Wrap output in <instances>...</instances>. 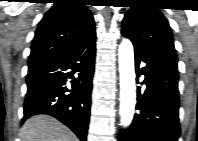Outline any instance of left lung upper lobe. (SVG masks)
<instances>
[{
	"label": "left lung upper lobe",
	"mask_w": 198,
	"mask_h": 141,
	"mask_svg": "<svg viewBox=\"0 0 198 141\" xmlns=\"http://www.w3.org/2000/svg\"><path fill=\"white\" fill-rule=\"evenodd\" d=\"M125 14L122 34L134 47L148 53H171L176 59L172 31L167 19L150 0H138Z\"/></svg>",
	"instance_id": "5c2ea615"
}]
</instances>
